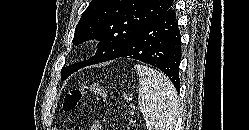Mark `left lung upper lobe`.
I'll use <instances>...</instances> for the list:
<instances>
[{"mask_svg": "<svg viewBox=\"0 0 249 130\" xmlns=\"http://www.w3.org/2000/svg\"><path fill=\"white\" fill-rule=\"evenodd\" d=\"M173 0H92L75 28L73 43L100 40L96 54L61 70L65 80L73 72L109 61L146 24L166 13Z\"/></svg>", "mask_w": 249, "mask_h": 130, "instance_id": "1", "label": "left lung upper lobe"}]
</instances>
